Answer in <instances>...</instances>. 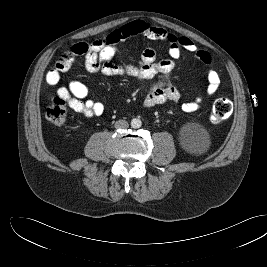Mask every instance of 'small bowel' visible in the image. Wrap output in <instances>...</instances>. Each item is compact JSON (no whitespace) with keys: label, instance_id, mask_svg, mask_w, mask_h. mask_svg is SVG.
Instances as JSON below:
<instances>
[{"label":"small bowel","instance_id":"small-bowel-1","mask_svg":"<svg viewBox=\"0 0 267 267\" xmlns=\"http://www.w3.org/2000/svg\"><path fill=\"white\" fill-rule=\"evenodd\" d=\"M135 36H142L150 40L164 42L168 47L169 57L157 60L154 48H146L135 64L118 65L112 62L120 43ZM183 51L195 54L196 58L206 65H210L211 56L204 50H199L188 37L175 36L167 30L150 25L142 20L128 22L111 33L94 40L91 43L79 42L64 51L57 59L55 66L46 74V82L55 86L59 83L60 75L68 71L75 58L82 56L84 65L90 73H100L106 76H131L147 87V95L143 100L145 108L181 100V92L171 82V74L176 61ZM207 86L203 94L184 102L181 108L186 113L198 111L207 98L216 94L220 86L218 72L210 68L207 72ZM58 97L67 101L69 107L86 117L101 115L105 106L103 103L88 98V87L77 80L70 81L65 87L57 88Z\"/></svg>","mask_w":267,"mask_h":267}]
</instances>
